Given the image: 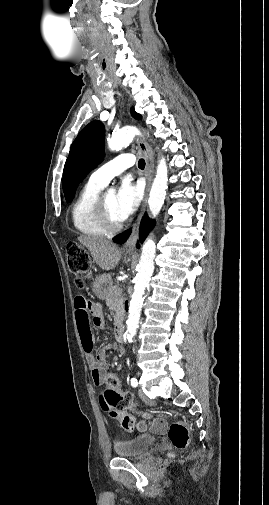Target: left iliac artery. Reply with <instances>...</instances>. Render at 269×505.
<instances>
[{"mask_svg": "<svg viewBox=\"0 0 269 505\" xmlns=\"http://www.w3.org/2000/svg\"><path fill=\"white\" fill-rule=\"evenodd\" d=\"M131 385H132L133 387H137V386H138V381H137V379H135V378H131Z\"/></svg>", "mask_w": 269, "mask_h": 505, "instance_id": "1", "label": "left iliac artery"}]
</instances>
